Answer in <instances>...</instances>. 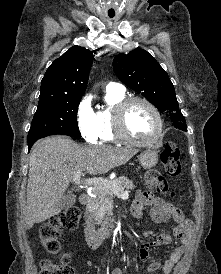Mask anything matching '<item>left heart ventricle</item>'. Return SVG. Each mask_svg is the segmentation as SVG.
Returning <instances> with one entry per match:
<instances>
[{"mask_svg": "<svg viewBox=\"0 0 221 274\" xmlns=\"http://www.w3.org/2000/svg\"><path fill=\"white\" fill-rule=\"evenodd\" d=\"M124 125L130 137L141 141L150 139L157 128L153 113L142 103H134L128 108Z\"/></svg>", "mask_w": 221, "mask_h": 274, "instance_id": "b2bd125f", "label": "left heart ventricle"}]
</instances>
